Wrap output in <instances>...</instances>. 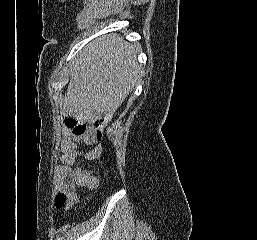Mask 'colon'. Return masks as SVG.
Masks as SVG:
<instances>
[{"mask_svg":"<svg viewBox=\"0 0 257 240\" xmlns=\"http://www.w3.org/2000/svg\"><path fill=\"white\" fill-rule=\"evenodd\" d=\"M66 127L72 133L81 135L85 133L89 128H94L97 132L98 137L101 135V123L95 122L93 125H87L75 118H67L65 120ZM82 183L85 186H93L97 183V179L94 176H84ZM77 201V193L71 192L69 194H59L55 198V204L59 208H68L75 204Z\"/></svg>","mask_w":257,"mask_h":240,"instance_id":"5ec220e1","label":"colon"}]
</instances>
